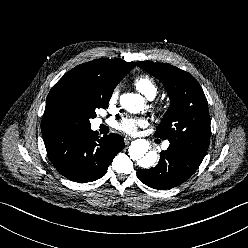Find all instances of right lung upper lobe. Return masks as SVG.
I'll list each match as a JSON object with an SVG mask.
<instances>
[{
    "label": "right lung upper lobe",
    "mask_w": 248,
    "mask_h": 248,
    "mask_svg": "<svg viewBox=\"0 0 248 248\" xmlns=\"http://www.w3.org/2000/svg\"><path fill=\"white\" fill-rule=\"evenodd\" d=\"M134 62H126L121 59H97L76 66L67 72L51 89L66 88L75 84L97 83L104 90L112 91L123 77L135 67ZM49 131H42L48 134Z\"/></svg>",
    "instance_id": "right-lung-upper-lobe-1"
}]
</instances>
